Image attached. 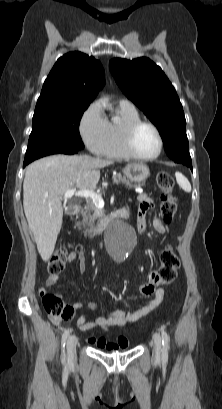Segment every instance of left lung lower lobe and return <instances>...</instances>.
Wrapping results in <instances>:
<instances>
[{"instance_id":"1","label":"left lung lower lobe","mask_w":222,"mask_h":409,"mask_svg":"<svg viewBox=\"0 0 222 409\" xmlns=\"http://www.w3.org/2000/svg\"><path fill=\"white\" fill-rule=\"evenodd\" d=\"M176 163H181V164H184V165H186L187 167H189L191 170H192V161H191V158L190 157H187V158H180V159H177V160H174Z\"/></svg>"}]
</instances>
